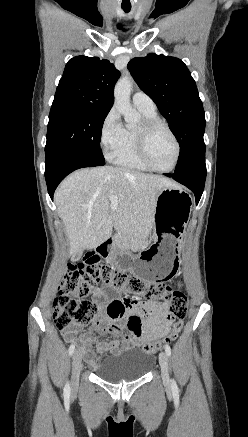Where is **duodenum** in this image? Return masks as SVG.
Returning <instances> with one entry per match:
<instances>
[{
    "label": "duodenum",
    "instance_id": "obj_1",
    "mask_svg": "<svg viewBox=\"0 0 248 437\" xmlns=\"http://www.w3.org/2000/svg\"><path fill=\"white\" fill-rule=\"evenodd\" d=\"M116 239L114 237L107 238L98 248H90L88 255L90 257H105L107 253L115 247Z\"/></svg>",
    "mask_w": 248,
    "mask_h": 437
}]
</instances>
